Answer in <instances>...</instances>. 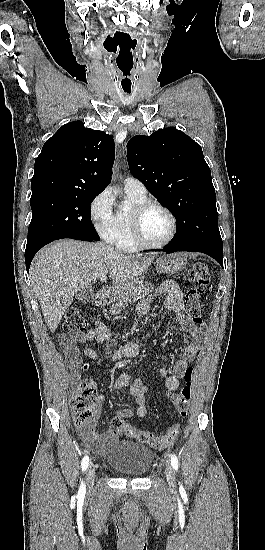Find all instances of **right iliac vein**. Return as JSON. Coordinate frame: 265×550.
Listing matches in <instances>:
<instances>
[{
  "label": "right iliac vein",
  "instance_id": "63e3f726",
  "mask_svg": "<svg viewBox=\"0 0 265 550\" xmlns=\"http://www.w3.org/2000/svg\"><path fill=\"white\" fill-rule=\"evenodd\" d=\"M94 478H95V467L93 465H89L86 471V480L89 486L93 485Z\"/></svg>",
  "mask_w": 265,
  "mask_h": 550
}]
</instances>
